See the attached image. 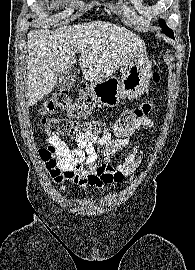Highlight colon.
Instances as JSON below:
<instances>
[{"instance_id":"5ec220e1","label":"colon","mask_w":195,"mask_h":270,"mask_svg":"<svg viewBox=\"0 0 195 270\" xmlns=\"http://www.w3.org/2000/svg\"><path fill=\"white\" fill-rule=\"evenodd\" d=\"M168 50L164 51V54ZM153 81L158 83L160 75L153 73ZM154 108L152 100H146L138 105L124 110L119 118L113 123L112 128H123L133 124L136 120L147 116ZM95 109V100L89 93L85 85L80 87V95L77 102H73L70 95L65 90H59L53 93L40 107L39 115L41 124L45 131L51 137L58 135L74 136L81 131L94 130L106 132L105 126L96 121L81 123L88 119ZM57 110L68 112L69 119H48L46 116L54 114ZM104 132V133H105ZM39 155L46 165L53 182L57 185H63L68 179L66 172L62 167V160L55 155V151L50 147H44L39 150Z\"/></svg>"}]
</instances>
